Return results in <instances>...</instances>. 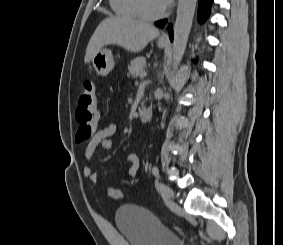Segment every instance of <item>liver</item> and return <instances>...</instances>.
Segmentation results:
<instances>
[{
	"label": "liver",
	"mask_w": 283,
	"mask_h": 245,
	"mask_svg": "<svg viewBox=\"0 0 283 245\" xmlns=\"http://www.w3.org/2000/svg\"><path fill=\"white\" fill-rule=\"evenodd\" d=\"M159 34L150 23L125 17L104 19L92 35L84 62L89 63L94 55L107 45H118L129 52L138 53Z\"/></svg>",
	"instance_id": "obj_1"
}]
</instances>
